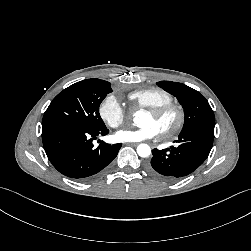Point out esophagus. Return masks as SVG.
Wrapping results in <instances>:
<instances>
[{
	"instance_id": "34e87169",
	"label": "esophagus",
	"mask_w": 251,
	"mask_h": 251,
	"mask_svg": "<svg viewBox=\"0 0 251 251\" xmlns=\"http://www.w3.org/2000/svg\"><path fill=\"white\" fill-rule=\"evenodd\" d=\"M127 145H130V146H136V145H138V143H135V142H128V143H126Z\"/></svg>"
}]
</instances>
